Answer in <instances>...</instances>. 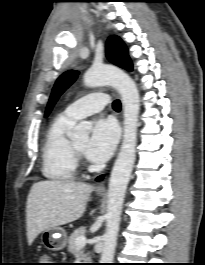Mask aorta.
<instances>
[{
    "label": "aorta",
    "instance_id": "1",
    "mask_svg": "<svg viewBox=\"0 0 205 265\" xmlns=\"http://www.w3.org/2000/svg\"><path fill=\"white\" fill-rule=\"evenodd\" d=\"M83 79L87 87L113 86L121 95L123 103V141L109 180L106 231L103 235V249L100 257V263H112L123 202L135 162L140 110L139 91L132 78L114 66H93L84 74ZM90 129L91 125L82 121L75 127L71 136L85 139L88 137Z\"/></svg>",
    "mask_w": 205,
    "mask_h": 265
}]
</instances>
